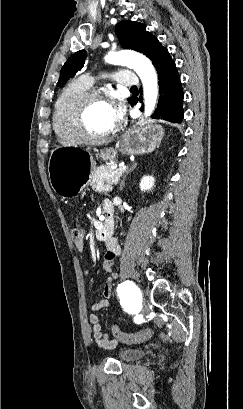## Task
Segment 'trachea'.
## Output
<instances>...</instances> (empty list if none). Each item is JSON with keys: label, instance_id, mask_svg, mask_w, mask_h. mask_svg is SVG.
<instances>
[{"label": "trachea", "instance_id": "trachea-1", "mask_svg": "<svg viewBox=\"0 0 243 409\" xmlns=\"http://www.w3.org/2000/svg\"><path fill=\"white\" fill-rule=\"evenodd\" d=\"M131 89H137V87H132Z\"/></svg>", "mask_w": 243, "mask_h": 409}]
</instances>
